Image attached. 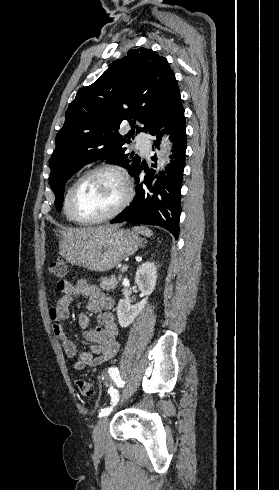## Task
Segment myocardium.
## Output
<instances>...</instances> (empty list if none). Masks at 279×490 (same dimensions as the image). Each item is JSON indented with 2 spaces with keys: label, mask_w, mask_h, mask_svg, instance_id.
I'll return each instance as SVG.
<instances>
[{
  "label": "myocardium",
  "mask_w": 279,
  "mask_h": 490,
  "mask_svg": "<svg viewBox=\"0 0 279 490\" xmlns=\"http://www.w3.org/2000/svg\"><path fill=\"white\" fill-rule=\"evenodd\" d=\"M100 173H111V174L115 175L121 181V183L123 185L124 196L112 211H110V212H108V213H106L100 217L94 218V219H90V220L80 219L77 216V212H76V199H77L78 193H79L82 185L84 184V182L87 179H89L90 177H92L94 175L100 174ZM132 197H133V189H132V186H131V183L129 181V178H128L126 171L118 165L100 164V165H97V166H94V167L88 169L87 171H85L83 174H81L77 178L76 182L73 185L72 191H71L70 212H71V215H72L74 221L77 222L78 224L90 225V224L101 223V222L108 221V220L115 218L118 215H120L125 210V208L129 205L130 201L132 200Z\"/></svg>",
  "instance_id": "myocardium-1"
}]
</instances>
